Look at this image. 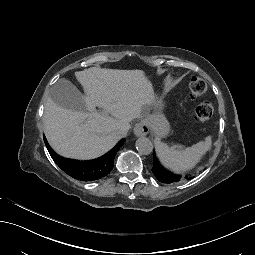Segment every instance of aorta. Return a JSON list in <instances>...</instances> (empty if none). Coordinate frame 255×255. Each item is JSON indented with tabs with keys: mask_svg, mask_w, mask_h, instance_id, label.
Returning <instances> with one entry per match:
<instances>
[{
	"mask_svg": "<svg viewBox=\"0 0 255 255\" xmlns=\"http://www.w3.org/2000/svg\"><path fill=\"white\" fill-rule=\"evenodd\" d=\"M136 149L140 154L149 155L153 151L152 142L146 137H140L136 140Z\"/></svg>",
	"mask_w": 255,
	"mask_h": 255,
	"instance_id": "762f6f07",
	"label": "aorta"
}]
</instances>
